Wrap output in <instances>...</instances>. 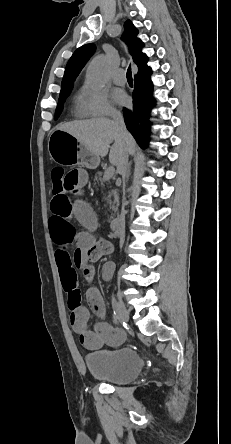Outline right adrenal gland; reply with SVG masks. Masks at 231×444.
Masks as SVG:
<instances>
[{"mask_svg":"<svg viewBox=\"0 0 231 444\" xmlns=\"http://www.w3.org/2000/svg\"><path fill=\"white\" fill-rule=\"evenodd\" d=\"M129 175H130V165L128 166L127 178L129 177Z\"/></svg>","mask_w":231,"mask_h":444,"instance_id":"obj_1","label":"right adrenal gland"}]
</instances>
